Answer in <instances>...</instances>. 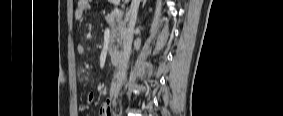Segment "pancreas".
Segmentation results:
<instances>
[{
  "instance_id": "pancreas-1",
  "label": "pancreas",
  "mask_w": 283,
  "mask_h": 116,
  "mask_svg": "<svg viewBox=\"0 0 283 116\" xmlns=\"http://www.w3.org/2000/svg\"><path fill=\"white\" fill-rule=\"evenodd\" d=\"M106 21L111 27V37L109 43V51L115 49L117 42L120 44L126 33L127 16L119 9H114L106 16Z\"/></svg>"
}]
</instances>
